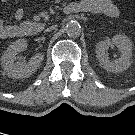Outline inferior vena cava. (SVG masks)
<instances>
[{
  "mask_svg": "<svg viewBox=\"0 0 135 135\" xmlns=\"http://www.w3.org/2000/svg\"><path fill=\"white\" fill-rule=\"evenodd\" d=\"M55 27L54 26H51L50 28H47L46 30H45V32H49V31H51L52 29H54Z\"/></svg>",
  "mask_w": 135,
  "mask_h": 135,
  "instance_id": "1",
  "label": "inferior vena cava"
}]
</instances>
